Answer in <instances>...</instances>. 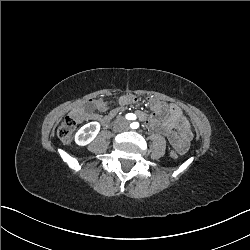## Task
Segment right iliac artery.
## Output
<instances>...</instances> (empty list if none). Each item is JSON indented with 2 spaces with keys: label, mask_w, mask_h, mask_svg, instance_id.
<instances>
[{
  "label": "right iliac artery",
  "mask_w": 250,
  "mask_h": 250,
  "mask_svg": "<svg viewBox=\"0 0 250 250\" xmlns=\"http://www.w3.org/2000/svg\"><path fill=\"white\" fill-rule=\"evenodd\" d=\"M126 118L128 120H134L136 118V116L133 113H129V114L126 115Z\"/></svg>",
  "instance_id": "right-iliac-artery-1"
}]
</instances>
